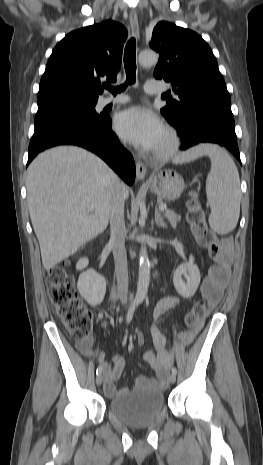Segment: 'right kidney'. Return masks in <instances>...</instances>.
<instances>
[{
    "label": "right kidney",
    "mask_w": 263,
    "mask_h": 465,
    "mask_svg": "<svg viewBox=\"0 0 263 465\" xmlns=\"http://www.w3.org/2000/svg\"><path fill=\"white\" fill-rule=\"evenodd\" d=\"M89 264V260L86 257L80 258L76 264L77 270H84ZM77 288L81 296L86 302L95 307L104 299L106 293V281L105 278L95 272L93 269L83 271L77 282Z\"/></svg>",
    "instance_id": "right-kidney-1"
}]
</instances>
